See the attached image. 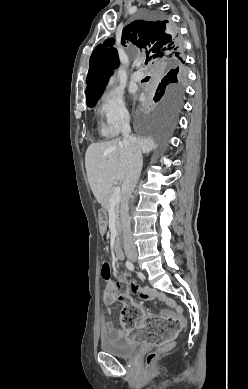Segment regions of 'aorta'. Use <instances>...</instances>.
<instances>
[{"label":"aorta","instance_id":"aorta-1","mask_svg":"<svg viewBox=\"0 0 248 389\" xmlns=\"http://www.w3.org/2000/svg\"><path fill=\"white\" fill-rule=\"evenodd\" d=\"M114 84V79L111 78L110 81H109V86L113 85Z\"/></svg>","mask_w":248,"mask_h":389}]
</instances>
